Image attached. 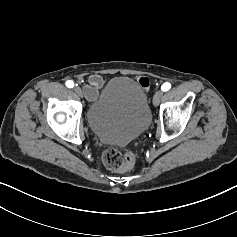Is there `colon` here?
<instances>
[{
	"label": "colon",
	"instance_id": "1",
	"mask_svg": "<svg viewBox=\"0 0 237 237\" xmlns=\"http://www.w3.org/2000/svg\"><path fill=\"white\" fill-rule=\"evenodd\" d=\"M102 161L108 169L124 172L133 168L136 163V155L130 150L121 152L116 148H109L103 152Z\"/></svg>",
	"mask_w": 237,
	"mask_h": 237
}]
</instances>
